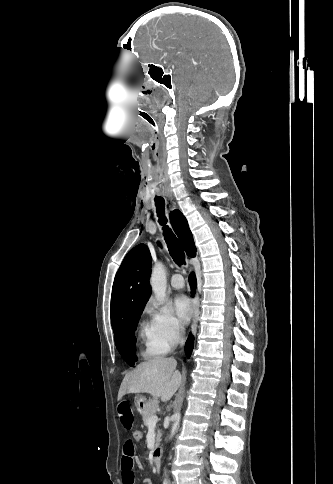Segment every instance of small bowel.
Instances as JSON below:
<instances>
[{"label":"small bowel","instance_id":"obj_1","mask_svg":"<svg viewBox=\"0 0 333 484\" xmlns=\"http://www.w3.org/2000/svg\"><path fill=\"white\" fill-rule=\"evenodd\" d=\"M117 416L120 425L126 431L134 429V412L130 402L122 399L117 405ZM140 464L135 454L134 443L131 439H127L123 445V454L121 459V471L123 484H135L134 465ZM146 484H151L145 481Z\"/></svg>","mask_w":333,"mask_h":484}]
</instances>
